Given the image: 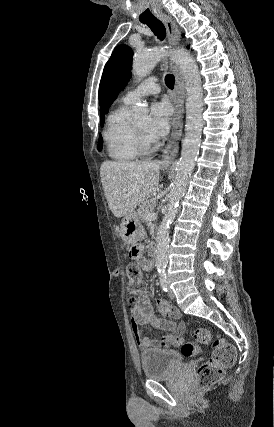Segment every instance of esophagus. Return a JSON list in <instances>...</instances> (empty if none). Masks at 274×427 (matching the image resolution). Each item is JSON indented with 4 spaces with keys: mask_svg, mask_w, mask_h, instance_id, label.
I'll use <instances>...</instances> for the list:
<instances>
[{
    "mask_svg": "<svg viewBox=\"0 0 274 427\" xmlns=\"http://www.w3.org/2000/svg\"><path fill=\"white\" fill-rule=\"evenodd\" d=\"M160 20L165 25L167 30L168 42L171 47H176L179 42V30L173 20L169 15L163 14L159 15ZM170 67L175 76V88L173 91V105L175 108L173 121H172V130L169 140L167 141L165 148L162 152L160 165L163 167H169L171 163H175L176 154L178 150L179 139L182 135L183 128V119H184V100H185V82L184 77L173 62L170 63Z\"/></svg>",
    "mask_w": 274,
    "mask_h": 427,
    "instance_id": "obj_1",
    "label": "esophagus"
}]
</instances>
